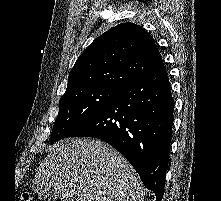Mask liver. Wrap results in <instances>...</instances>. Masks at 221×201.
Returning a JSON list of instances; mask_svg holds the SVG:
<instances>
[{"instance_id":"1","label":"liver","mask_w":221,"mask_h":201,"mask_svg":"<svg viewBox=\"0 0 221 201\" xmlns=\"http://www.w3.org/2000/svg\"><path fill=\"white\" fill-rule=\"evenodd\" d=\"M54 188L61 201H142L145 192L131 164L100 140L74 138L51 148L33 190Z\"/></svg>"}]
</instances>
